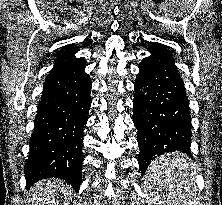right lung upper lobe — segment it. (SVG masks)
Returning a JSON list of instances; mask_svg holds the SVG:
<instances>
[{"label": "right lung upper lobe", "mask_w": 222, "mask_h": 205, "mask_svg": "<svg viewBox=\"0 0 222 205\" xmlns=\"http://www.w3.org/2000/svg\"><path fill=\"white\" fill-rule=\"evenodd\" d=\"M78 52L76 48H70L59 53L55 59V66L51 70L49 76L76 71L86 66L83 58H73L74 54Z\"/></svg>", "instance_id": "right-lung-upper-lobe-1"}]
</instances>
